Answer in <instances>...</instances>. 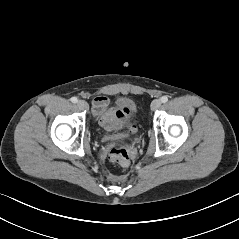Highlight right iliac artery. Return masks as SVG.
<instances>
[{
    "label": "right iliac artery",
    "instance_id": "82829eb1",
    "mask_svg": "<svg viewBox=\"0 0 239 239\" xmlns=\"http://www.w3.org/2000/svg\"><path fill=\"white\" fill-rule=\"evenodd\" d=\"M71 101H72L73 103H77V102H78V99H77L76 97H72V98H71Z\"/></svg>",
    "mask_w": 239,
    "mask_h": 239
}]
</instances>
